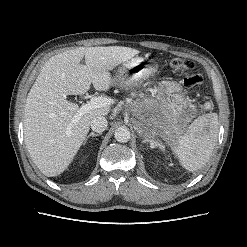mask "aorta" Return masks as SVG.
<instances>
[{"label":"aorta","mask_w":247,"mask_h":247,"mask_svg":"<svg viewBox=\"0 0 247 247\" xmlns=\"http://www.w3.org/2000/svg\"><path fill=\"white\" fill-rule=\"evenodd\" d=\"M115 139L120 143H126L130 139V131L127 127L121 126L115 130Z\"/></svg>","instance_id":"aorta-1"}]
</instances>
